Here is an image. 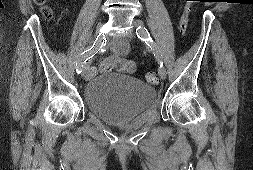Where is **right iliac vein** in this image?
<instances>
[{"label": "right iliac vein", "mask_w": 253, "mask_h": 170, "mask_svg": "<svg viewBox=\"0 0 253 170\" xmlns=\"http://www.w3.org/2000/svg\"><path fill=\"white\" fill-rule=\"evenodd\" d=\"M92 76V72L90 70V61H87L86 63H84L83 65V78L85 80L90 79Z\"/></svg>", "instance_id": "right-iliac-vein-1"}]
</instances>
